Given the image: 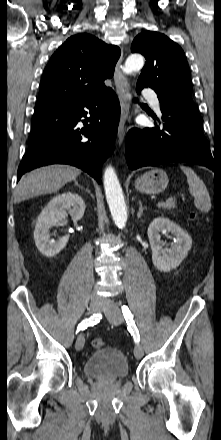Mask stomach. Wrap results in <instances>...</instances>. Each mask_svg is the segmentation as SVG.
Listing matches in <instances>:
<instances>
[{
  "label": "stomach",
  "mask_w": 221,
  "mask_h": 440,
  "mask_svg": "<svg viewBox=\"0 0 221 440\" xmlns=\"http://www.w3.org/2000/svg\"><path fill=\"white\" fill-rule=\"evenodd\" d=\"M168 176L162 169H152L135 181L137 191L146 194H158L164 191L168 185Z\"/></svg>",
  "instance_id": "stomach-1"
}]
</instances>
